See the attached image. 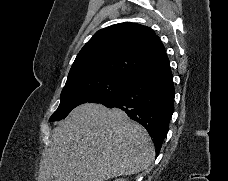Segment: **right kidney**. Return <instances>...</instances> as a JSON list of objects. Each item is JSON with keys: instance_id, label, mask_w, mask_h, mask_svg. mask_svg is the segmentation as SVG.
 I'll return each instance as SVG.
<instances>
[{"instance_id": "right-kidney-1", "label": "right kidney", "mask_w": 228, "mask_h": 181, "mask_svg": "<svg viewBox=\"0 0 228 181\" xmlns=\"http://www.w3.org/2000/svg\"><path fill=\"white\" fill-rule=\"evenodd\" d=\"M116 181H126V179H116Z\"/></svg>"}]
</instances>
